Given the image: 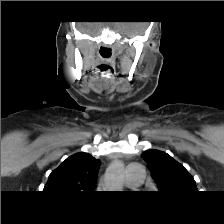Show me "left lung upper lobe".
Here are the masks:
<instances>
[{
  "label": "left lung upper lobe",
  "instance_id": "left-lung-upper-lobe-1",
  "mask_svg": "<svg viewBox=\"0 0 224 224\" xmlns=\"http://www.w3.org/2000/svg\"><path fill=\"white\" fill-rule=\"evenodd\" d=\"M141 156L148 164L160 193L176 197L198 192L194 178L167 153L153 149Z\"/></svg>",
  "mask_w": 224,
  "mask_h": 224
}]
</instances>
